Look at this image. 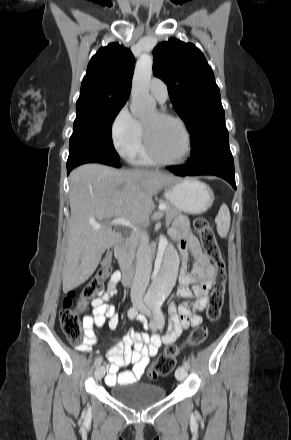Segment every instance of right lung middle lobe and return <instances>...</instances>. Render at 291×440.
Returning a JSON list of instances; mask_svg holds the SVG:
<instances>
[{
  "label": "right lung middle lobe",
  "instance_id": "1",
  "mask_svg": "<svg viewBox=\"0 0 291 440\" xmlns=\"http://www.w3.org/2000/svg\"><path fill=\"white\" fill-rule=\"evenodd\" d=\"M125 102L99 101L76 104V119L70 137V151L87 150L107 154L117 160L113 147L112 123Z\"/></svg>",
  "mask_w": 291,
  "mask_h": 440
}]
</instances>
